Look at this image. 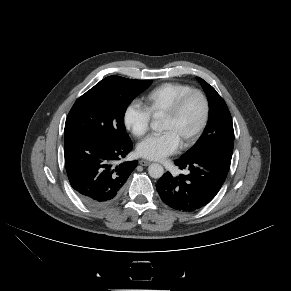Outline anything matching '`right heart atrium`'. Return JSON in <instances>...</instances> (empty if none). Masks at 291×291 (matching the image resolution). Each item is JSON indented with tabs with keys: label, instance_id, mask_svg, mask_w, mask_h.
Here are the masks:
<instances>
[{
	"label": "right heart atrium",
	"instance_id": "right-heart-atrium-1",
	"mask_svg": "<svg viewBox=\"0 0 291 291\" xmlns=\"http://www.w3.org/2000/svg\"><path fill=\"white\" fill-rule=\"evenodd\" d=\"M151 115L140 103L133 101L127 105L123 113V123L136 137H142L150 127Z\"/></svg>",
	"mask_w": 291,
	"mask_h": 291
}]
</instances>
